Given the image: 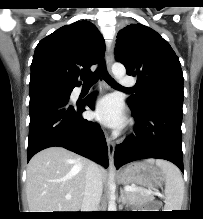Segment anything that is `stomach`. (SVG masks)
<instances>
[{
	"label": "stomach",
	"mask_w": 203,
	"mask_h": 219,
	"mask_svg": "<svg viewBox=\"0 0 203 219\" xmlns=\"http://www.w3.org/2000/svg\"><path fill=\"white\" fill-rule=\"evenodd\" d=\"M119 180L123 184L135 183L140 186L155 189L166 181L161 168L148 162H135L126 166L119 173Z\"/></svg>",
	"instance_id": "obj_1"
}]
</instances>
